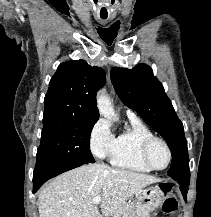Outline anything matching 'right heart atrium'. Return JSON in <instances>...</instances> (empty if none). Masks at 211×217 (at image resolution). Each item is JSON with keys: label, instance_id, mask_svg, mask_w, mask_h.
<instances>
[{"label": "right heart atrium", "instance_id": "obj_1", "mask_svg": "<svg viewBox=\"0 0 211 217\" xmlns=\"http://www.w3.org/2000/svg\"><path fill=\"white\" fill-rule=\"evenodd\" d=\"M115 138L108 122L99 119L93 125L89 134L91 151L99 158L110 157L114 149Z\"/></svg>", "mask_w": 211, "mask_h": 217}]
</instances>
